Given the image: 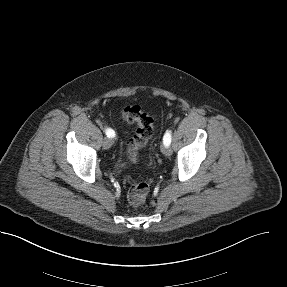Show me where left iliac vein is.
Listing matches in <instances>:
<instances>
[{
	"label": "left iliac vein",
	"mask_w": 287,
	"mask_h": 287,
	"mask_svg": "<svg viewBox=\"0 0 287 287\" xmlns=\"http://www.w3.org/2000/svg\"><path fill=\"white\" fill-rule=\"evenodd\" d=\"M161 151L165 156H171V154H172V149L166 145L162 146Z\"/></svg>",
	"instance_id": "1"
}]
</instances>
